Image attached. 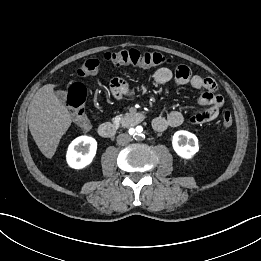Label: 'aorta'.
I'll list each match as a JSON object with an SVG mask.
<instances>
[{
  "instance_id": "762f6f07",
  "label": "aorta",
  "mask_w": 261,
  "mask_h": 261,
  "mask_svg": "<svg viewBox=\"0 0 261 261\" xmlns=\"http://www.w3.org/2000/svg\"><path fill=\"white\" fill-rule=\"evenodd\" d=\"M131 132H132L133 136L139 137V136H141V133H142V127L141 126H137L135 128H132Z\"/></svg>"
}]
</instances>
